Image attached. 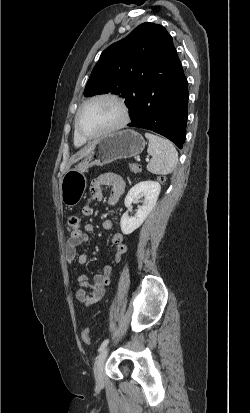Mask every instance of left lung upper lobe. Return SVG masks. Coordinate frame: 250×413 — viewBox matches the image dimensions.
I'll list each match as a JSON object with an SVG mask.
<instances>
[{"label": "left lung upper lobe", "instance_id": "obj_1", "mask_svg": "<svg viewBox=\"0 0 250 413\" xmlns=\"http://www.w3.org/2000/svg\"><path fill=\"white\" fill-rule=\"evenodd\" d=\"M173 46V39L163 26L149 22L139 25L102 52L84 95L120 94L129 107L137 98L141 84L165 69Z\"/></svg>", "mask_w": 250, "mask_h": 413}]
</instances>
